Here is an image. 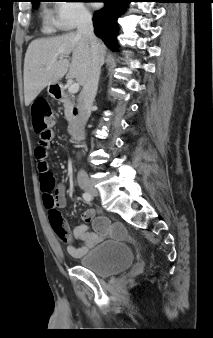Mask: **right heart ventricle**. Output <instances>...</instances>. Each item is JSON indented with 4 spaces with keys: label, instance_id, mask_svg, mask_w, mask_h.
Here are the masks:
<instances>
[{
    "label": "right heart ventricle",
    "instance_id": "obj_1",
    "mask_svg": "<svg viewBox=\"0 0 213 338\" xmlns=\"http://www.w3.org/2000/svg\"><path fill=\"white\" fill-rule=\"evenodd\" d=\"M48 25H49V27H50L51 29L58 28L56 25H54V24H52V23H50V22H49V24H48Z\"/></svg>",
    "mask_w": 213,
    "mask_h": 338
}]
</instances>
